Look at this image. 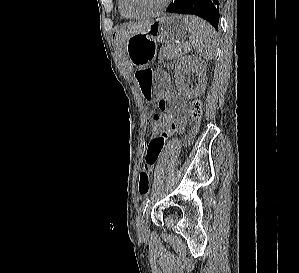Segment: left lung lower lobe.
Wrapping results in <instances>:
<instances>
[{
	"label": "left lung lower lobe",
	"instance_id": "1",
	"mask_svg": "<svg viewBox=\"0 0 299 273\" xmlns=\"http://www.w3.org/2000/svg\"><path fill=\"white\" fill-rule=\"evenodd\" d=\"M220 2L221 0H174L166 12L200 16L218 31Z\"/></svg>",
	"mask_w": 299,
	"mask_h": 273
}]
</instances>
